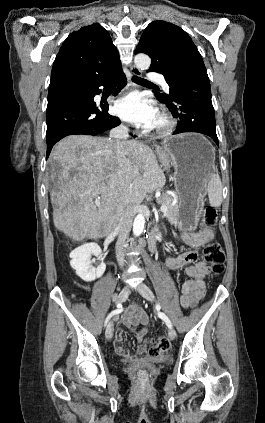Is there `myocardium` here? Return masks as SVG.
<instances>
[{
  "label": "myocardium",
  "mask_w": 265,
  "mask_h": 423,
  "mask_svg": "<svg viewBox=\"0 0 265 423\" xmlns=\"http://www.w3.org/2000/svg\"><path fill=\"white\" fill-rule=\"evenodd\" d=\"M158 114L161 117L162 123L157 127L151 128V131L158 135L172 133L177 125L176 120L165 110H161Z\"/></svg>",
  "instance_id": "1"
}]
</instances>
